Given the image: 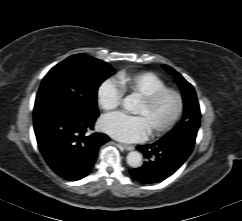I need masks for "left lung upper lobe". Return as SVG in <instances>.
Listing matches in <instances>:
<instances>
[{"label":"left lung upper lobe","mask_w":242,"mask_h":221,"mask_svg":"<svg viewBox=\"0 0 242 221\" xmlns=\"http://www.w3.org/2000/svg\"><path fill=\"white\" fill-rule=\"evenodd\" d=\"M163 67L175 77L181 88L184 102V115L182 120L164 137L196 136L200 127V109L194 88L173 68L167 65H163Z\"/></svg>","instance_id":"obj_1"}]
</instances>
